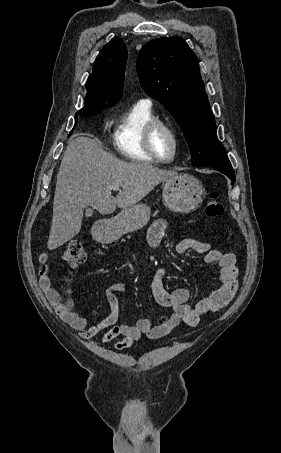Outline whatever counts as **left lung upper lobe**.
<instances>
[{"label":"left lung upper lobe","instance_id":"obj_1","mask_svg":"<svg viewBox=\"0 0 281 453\" xmlns=\"http://www.w3.org/2000/svg\"><path fill=\"white\" fill-rule=\"evenodd\" d=\"M144 91L174 116L188 142L195 167H230L199 72L197 57L177 37L148 42L137 61Z\"/></svg>","mask_w":281,"mask_h":453}]
</instances>
